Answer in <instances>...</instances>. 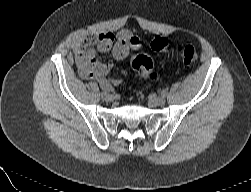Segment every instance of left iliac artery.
<instances>
[{
	"label": "left iliac artery",
	"mask_w": 251,
	"mask_h": 192,
	"mask_svg": "<svg viewBox=\"0 0 251 192\" xmlns=\"http://www.w3.org/2000/svg\"><path fill=\"white\" fill-rule=\"evenodd\" d=\"M161 95H162V96H166V95H167V92H166L165 90H163V91L161 92Z\"/></svg>",
	"instance_id": "obj_1"
}]
</instances>
